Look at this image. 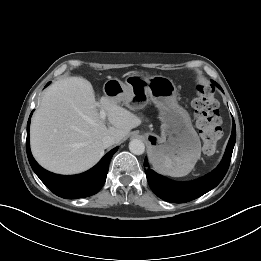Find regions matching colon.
<instances>
[{"mask_svg":"<svg viewBox=\"0 0 261 261\" xmlns=\"http://www.w3.org/2000/svg\"><path fill=\"white\" fill-rule=\"evenodd\" d=\"M196 124L203 140V151L211 155L216 150V144L221 137V118L218 102L210 86L198 85L192 101Z\"/></svg>","mask_w":261,"mask_h":261,"instance_id":"1","label":"colon"}]
</instances>
